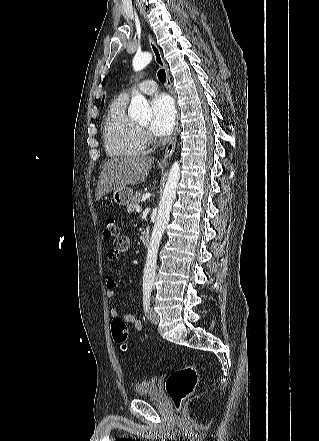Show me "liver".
<instances>
[{"mask_svg":"<svg viewBox=\"0 0 319 441\" xmlns=\"http://www.w3.org/2000/svg\"><path fill=\"white\" fill-rule=\"evenodd\" d=\"M152 159L146 156L113 157L105 163L97 183L95 198L99 201L111 191L142 183L148 176Z\"/></svg>","mask_w":319,"mask_h":441,"instance_id":"obj_1","label":"liver"}]
</instances>
